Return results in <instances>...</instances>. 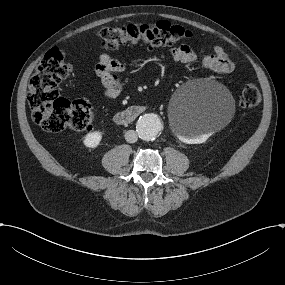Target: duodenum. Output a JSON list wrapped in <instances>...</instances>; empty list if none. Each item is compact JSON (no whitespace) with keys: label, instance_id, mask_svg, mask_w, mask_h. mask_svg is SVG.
Wrapping results in <instances>:
<instances>
[{"label":"duodenum","instance_id":"410a0bca","mask_svg":"<svg viewBox=\"0 0 285 285\" xmlns=\"http://www.w3.org/2000/svg\"><path fill=\"white\" fill-rule=\"evenodd\" d=\"M145 110L144 105H133L117 112L114 120L118 125H127L135 121Z\"/></svg>","mask_w":285,"mask_h":285}]
</instances>
